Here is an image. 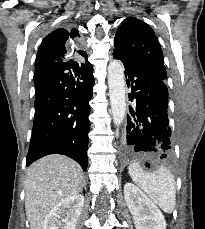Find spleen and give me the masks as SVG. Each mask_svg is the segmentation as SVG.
<instances>
[{
  "label": "spleen",
  "instance_id": "3e777b00",
  "mask_svg": "<svg viewBox=\"0 0 205 229\" xmlns=\"http://www.w3.org/2000/svg\"><path fill=\"white\" fill-rule=\"evenodd\" d=\"M132 180L149 198L166 213H172L176 204V183L173 174L161 167L155 172H145L138 163L128 167Z\"/></svg>",
  "mask_w": 205,
  "mask_h": 229
}]
</instances>
